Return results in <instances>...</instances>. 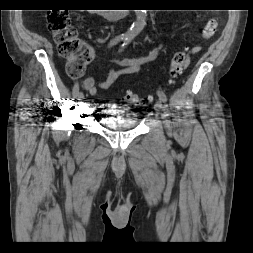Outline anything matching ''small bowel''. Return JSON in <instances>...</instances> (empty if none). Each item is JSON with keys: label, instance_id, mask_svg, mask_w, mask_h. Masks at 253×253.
Returning a JSON list of instances; mask_svg holds the SVG:
<instances>
[{"label": "small bowel", "instance_id": "small-bowel-1", "mask_svg": "<svg viewBox=\"0 0 253 253\" xmlns=\"http://www.w3.org/2000/svg\"><path fill=\"white\" fill-rule=\"evenodd\" d=\"M163 47L164 43L160 42L145 56L137 58L114 59L113 62L119 65L121 69L116 70L114 68H110L108 70L106 79L103 81H97L95 77L89 76L81 81L77 80V82H79L81 87L88 91L91 96L95 97L97 96L99 90L109 89L110 87L114 86L120 76L136 73L144 64L154 61L161 53ZM199 50L200 47H197V51Z\"/></svg>", "mask_w": 253, "mask_h": 253}]
</instances>
